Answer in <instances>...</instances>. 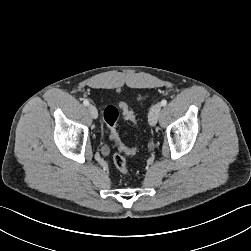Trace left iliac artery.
<instances>
[{
  "mask_svg": "<svg viewBox=\"0 0 251 251\" xmlns=\"http://www.w3.org/2000/svg\"><path fill=\"white\" fill-rule=\"evenodd\" d=\"M161 106H165L167 104V100L163 99L161 102H160Z\"/></svg>",
  "mask_w": 251,
  "mask_h": 251,
  "instance_id": "obj_1",
  "label": "left iliac artery"
}]
</instances>
